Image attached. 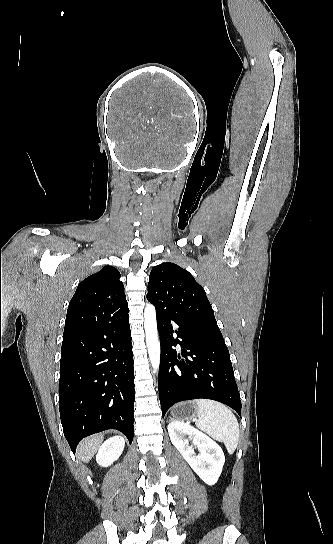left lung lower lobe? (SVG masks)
Instances as JSON below:
<instances>
[{
	"label": "left lung lower lobe",
	"instance_id": "obj_1",
	"mask_svg": "<svg viewBox=\"0 0 333 544\" xmlns=\"http://www.w3.org/2000/svg\"><path fill=\"white\" fill-rule=\"evenodd\" d=\"M155 308L161 340L158 388L162 416L175 403L197 398L224 403L241 416L240 395L220 330ZM178 344L179 354L174 348Z\"/></svg>",
	"mask_w": 333,
	"mask_h": 544
}]
</instances>
